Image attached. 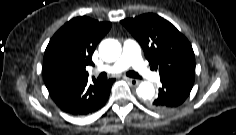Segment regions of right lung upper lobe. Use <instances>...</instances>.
Here are the masks:
<instances>
[{"mask_svg": "<svg viewBox=\"0 0 236 135\" xmlns=\"http://www.w3.org/2000/svg\"><path fill=\"white\" fill-rule=\"evenodd\" d=\"M110 22H99L86 16L71 19L51 38L43 58V70H65L88 76L86 66L98 42L108 33Z\"/></svg>", "mask_w": 236, "mask_h": 135, "instance_id": "obj_1", "label": "right lung upper lobe"}]
</instances>
